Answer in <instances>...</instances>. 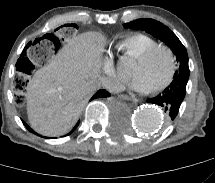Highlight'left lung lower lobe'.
I'll return each instance as SVG.
<instances>
[{
    "label": "left lung lower lobe",
    "mask_w": 215,
    "mask_h": 183,
    "mask_svg": "<svg viewBox=\"0 0 215 183\" xmlns=\"http://www.w3.org/2000/svg\"><path fill=\"white\" fill-rule=\"evenodd\" d=\"M188 78L177 77L160 94L147 100L148 103L161 106L167 114L168 121L174 120L185 97Z\"/></svg>",
    "instance_id": "0a47b994"
}]
</instances>
